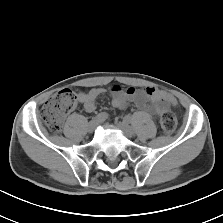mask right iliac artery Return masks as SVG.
Here are the masks:
<instances>
[{"instance_id": "obj_1", "label": "right iliac artery", "mask_w": 223, "mask_h": 223, "mask_svg": "<svg viewBox=\"0 0 223 223\" xmlns=\"http://www.w3.org/2000/svg\"><path fill=\"white\" fill-rule=\"evenodd\" d=\"M107 117H108L107 113H100L97 116H95L93 118V120H95V121H104V120H106Z\"/></svg>"}]
</instances>
